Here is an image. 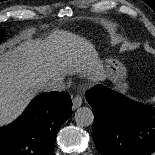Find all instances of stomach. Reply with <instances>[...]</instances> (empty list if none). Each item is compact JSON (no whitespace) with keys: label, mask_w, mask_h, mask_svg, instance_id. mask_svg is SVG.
Here are the masks:
<instances>
[{"label":"stomach","mask_w":155,"mask_h":155,"mask_svg":"<svg viewBox=\"0 0 155 155\" xmlns=\"http://www.w3.org/2000/svg\"><path fill=\"white\" fill-rule=\"evenodd\" d=\"M101 65L106 74V79L112 87L121 93H126L129 86L126 82L127 69L125 65L115 57L106 58L101 62Z\"/></svg>","instance_id":"1"}]
</instances>
